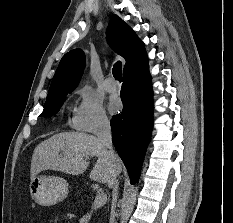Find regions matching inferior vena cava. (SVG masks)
Wrapping results in <instances>:
<instances>
[{
  "instance_id": "1",
  "label": "inferior vena cava",
  "mask_w": 233,
  "mask_h": 223,
  "mask_svg": "<svg viewBox=\"0 0 233 223\" xmlns=\"http://www.w3.org/2000/svg\"><path fill=\"white\" fill-rule=\"evenodd\" d=\"M99 143H101L102 147H104L108 157L109 163L111 167H116V163L118 161V155L114 153V149L112 147V137H111V125L108 117H101L98 121L97 133ZM118 179H114L113 183L109 185L112 189V207L110 213L109 223H116V203L118 199Z\"/></svg>"
}]
</instances>
